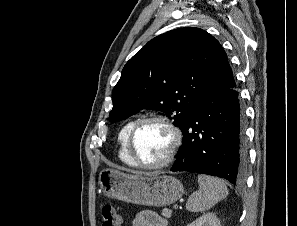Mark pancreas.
Masks as SVG:
<instances>
[{
  "label": "pancreas",
  "instance_id": "cf45deb5",
  "mask_svg": "<svg viewBox=\"0 0 297 226\" xmlns=\"http://www.w3.org/2000/svg\"><path fill=\"white\" fill-rule=\"evenodd\" d=\"M172 214V211L170 209L164 208L162 210V216H164L165 218H170Z\"/></svg>",
  "mask_w": 297,
  "mask_h": 226
}]
</instances>
